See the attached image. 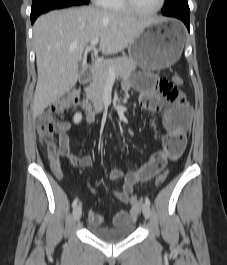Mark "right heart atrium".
<instances>
[{
  "label": "right heart atrium",
  "mask_w": 227,
  "mask_h": 265,
  "mask_svg": "<svg viewBox=\"0 0 227 265\" xmlns=\"http://www.w3.org/2000/svg\"><path fill=\"white\" fill-rule=\"evenodd\" d=\"M95 3H97V4H99V5H101L102 4V2H103V0H93Z\"/></svg>",
  "instance_id": "d8ad5b80"
}]
</instances>
